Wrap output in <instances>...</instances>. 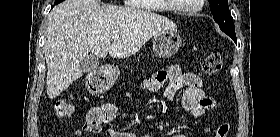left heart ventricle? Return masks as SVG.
Returning a JSON list of instances; mask_svg holds the SVG:
<instances>
[{"label": "left heart ventricle", "mask_w": 280, "mask_h": 137, "mask_svg": "<svg viewBox=\"0 0 280 137\" xmlns=\"http://www.w3.org/2000/svg\"><path fill=\"white\" fill-rule=\"evenodd\" d=\"M184 6H195L197 4V0H182L181 1Z\"/></svg>", "instance_id": "b2bd125f"}]
</instances>
